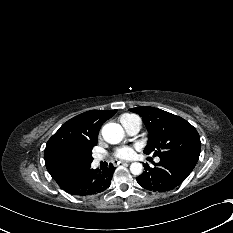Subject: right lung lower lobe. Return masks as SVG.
Listing matches in <instances>:
<instances>
[{"mask_svg":"<svg viewBox=\"0 0 233 233\" xmlns=\"http://www.w3.org/2000/svg\"><path fill=\"white\" fill-rule=\"evenodd\" d=\"M114 170L115 167L112 164L102 171L91 169V166H88L75 174L73 179L61 188L76 196H91L101 193L110 186Z\"/></svg>","mask_w":233,"mask_h":233,"instance_id":"obj_1","label":"right lung lower lobe"}]
</instances>
